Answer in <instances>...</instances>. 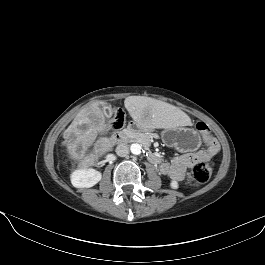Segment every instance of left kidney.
Listing matches in <instances>:
<instances>
[{"label": "left kidney", "instance_id": "left-kidney-1", "mask_svg": "<svg viewBox=\"0 0 265 265\" xmlns=\"http://www.w3.org/2000/svg\"><path fill=\"white\" fill-rule=\"evenodd\" d=\"M170 186L173 189H178V183L176 181H171Z\"/></svg>", "mask_w": 265, "mask_h": 265}]
</instances>
